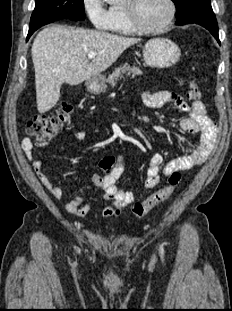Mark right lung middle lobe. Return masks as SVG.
I'll list each match as a JSON object with an SVG mask.
<instances>
[{
  "mask_svg": "<svg viewBox=\"0 0 232 311\" xmlns=\"http://www.w3.org/2000/svg\"><path fill=\"white\" fill-rule=\"evenodd\" d=\"M59 19L84 20L83 0H36L30 27Z\"/></svg>",
  "mask_w": 232,
  "mask_h": 311,
  "instance_id": "1",
  "label": "right lung middle lobe"
}]
</instances>
